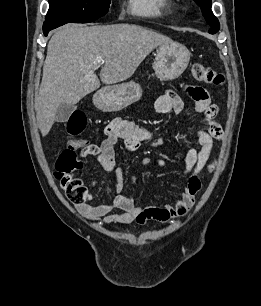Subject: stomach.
Masks as SVG:
<instances>
[{
    "label": "stomach",
    "instance_id": "stomach-1",
    "mask_svg": "<svg viewBox=\"0 0 261 306\" xmlns=\"http://www.w3.org/2000/svg\"><path fill=\"white\" fill-rule=\"evenodd\" d=\"M189 60L190 52L184 45L178 42L162 44L153 63L155 75L161 81L176 79L185 71ZM141 96L140 85L128 82L101 89L94 95L93 102L103 111H117L138 101Z\"/></svg>",
    "mask_w": 261,
    "mask_h": 306
}]
</instances>
